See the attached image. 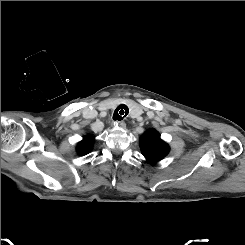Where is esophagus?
<instances>
[{
    "label": "esophagus",
    "mask_w": 245,
    "mask_h": 245,
    "mask_svg": "<svg viewBox=\"0 0 245 245\" xmlns=\"http://www.w3.org/2000/svg\"><path fill=\"white\" fill-rule=\"evenodd\" d=\"M115 124L117 126H119L120 128H125L126 127V124L123 121H116Z\"/></svg>",
    "instance_id": "obj_1"
}]
</instances>
